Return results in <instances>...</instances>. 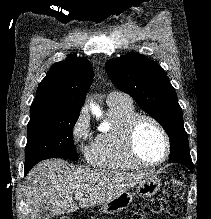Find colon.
I'll return each mask as SVG.
<instances>
[{
    "label": "colon",
    "mask_w": 211,
    "mask_h": 219,
    "mask_svg": "<svg viewBox=\"0 0 211 219\" xmlns=\"http://www.w3.org/2000/svg\"><path fill=\"white\" fill-rule=\"evenodd\" d=\"M185 192L184 177L182 174H175L165 185L162 195L150 202L134 219H143L146 215H169L175 216L182 206ZM60 219H70L61 217Z\"/></svg>",
    "instance_id": "obj_1"
}]
</instances>
